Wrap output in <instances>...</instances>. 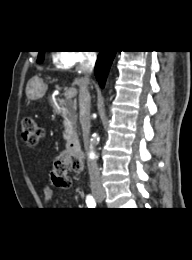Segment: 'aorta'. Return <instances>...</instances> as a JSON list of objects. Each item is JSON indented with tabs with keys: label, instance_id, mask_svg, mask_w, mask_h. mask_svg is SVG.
<instances>
[{
	"label": "aorta",
	"instance_id": "obj_1",
	"mask_svg": "<svg viewBox=\"0 0 192 260\" xmlns=\"http://www.w3.org/2000/svg\"><path fill=\"white\" fill-rule=\"evenodd\" d=\"M95 139L99 140V138H98V136H97L96 133L93 134V139H92V140L94 141ZM90 148H91V151H90V153H89V158H90V159H94V158H95V153H94V151H93L92 146H91Z\"/></svg>",
	"mask_w": 192,
	"mask_h": 260
}]
</instances>
